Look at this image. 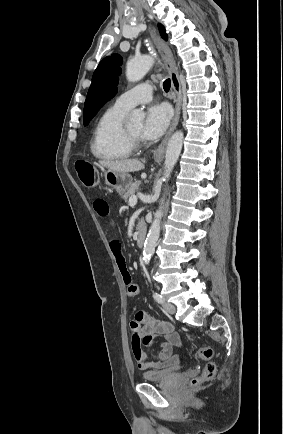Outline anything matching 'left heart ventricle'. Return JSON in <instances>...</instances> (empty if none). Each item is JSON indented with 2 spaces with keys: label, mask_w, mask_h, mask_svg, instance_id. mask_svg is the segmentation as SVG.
<instances>
[{
  "label": "left heart ventricle",
  "mask_w": 283,
  "mask_h": 434,
  "mask_svg": "<svg viewBox=\"0 0 283 434\" xmlns=\"http://www.w3.org/2000/svg\"><path fill=\"white\" fill-rule=\"evenodd\" d=\"M142 125H143L142 122L138 121L133 124H130L128 128L134 135L139 136L141 133Z\"/></svg>",
  "instance_id": "obj_1"
}]
</instances>
